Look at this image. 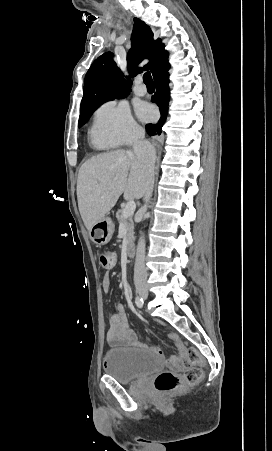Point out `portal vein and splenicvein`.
<instances>
[{
    "mask_svg": "<svg viewBox=\"0 0 272 451\" xmlns=\"http://www.w3.org/2000/svg\"><path fill=\"white\" fill-rule=\"evenodd\" d=\"M135 210H136V204H135L134 200H130V202H127V204L122 212V218H128V216H133Z\"/></svg>",
    "mask_w": 272,
    "mask_h": 451,
    "instance_id": "obj_1",
    "label": "portal vein and splenic vein"
}]
</instances>
